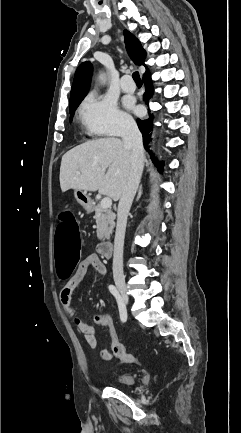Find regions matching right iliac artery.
I'll return each mask as SVG.
<instances>
[{
	"label": "right iliac artery",
	"instance_id": "1",
	"mask_svg": "<svg viewBox=\"0 0 241 433\" xmlns=\"http://www.w3.org/2000/svg\"><path fill=\"white\" fill-rule=\"evenodd\" d=\"M109 291L116 298L119 307L121 321L125 322L127 320V311L117 288L114 285H109Z\"/></svg>",
	"mask_w": 241,
	"mask_h": 433
}]
</instances>
